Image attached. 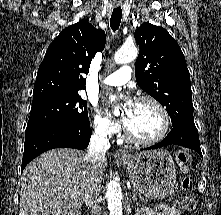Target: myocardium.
<instances>
[{"mask_svg":"<svg viewBox=\"0 0 221 215\" xmlns=\"http://www.w3.org/2000/svg\"><path fill=\"white\" fill-rule=\"evenodd\" d=\"M142 102H149L153 104L159 111L161 119H162V128H161L160 133L153 138L143 139V138H139L133 135L127 129V127L124 126V136L128 141L134 144L145 145V146L154 145V144L161 142L167 136L170 130V125H171L170 116L166 107L158 99L154 98L153 96L143 95V96H140L136 100V103H142Z\"/></svg>","mask_w":221,"mask_h":215,"instance_id":"1","label":"myocardium"}]
</instances>
